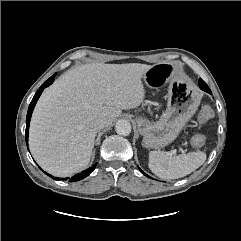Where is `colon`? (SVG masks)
<instances>
[{
    "mask_svg": "<svg viewBox=\"0 0 241 241\" xmlns=\"http://www.w3.org/2000/svg\"><path fill=\"white\" fill-rule=\"evenodd\" d=\"M213 117V110L210 106H203L198 114V121L200 124H206ZM205 137L203 135H196L192 138L191 143L195 147H201L205 144Z\"/></svg>",
    "mask_w": 241,
    "mask_h": 241,
    "instance_id": "1",
    "label": "colon"
}]
</instances>
